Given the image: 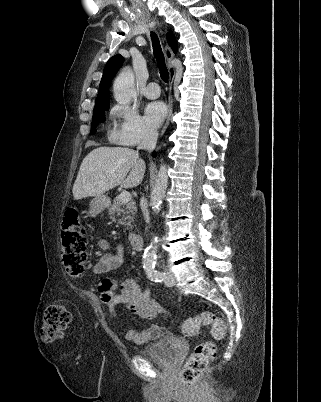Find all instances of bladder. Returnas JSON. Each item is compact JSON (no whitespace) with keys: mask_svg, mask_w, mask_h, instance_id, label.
Wrapping results in <instances>:
<instances>
[{"mask_svg":"<svg viewBox=\"0 0 321 402\" xmlns=\"http://www.w3.org/2000/svg\"><path fill=\"white\" fill-rule=\"evenodd\" d=\"M181 339L171 333L162 331L157 341L142 349L141 355L161 366H173L179 357Z\"/></svg>","mask_w":321,"mask_h":402,"instance_id":"bladder-1","label":"bladder"}]
</instances>
